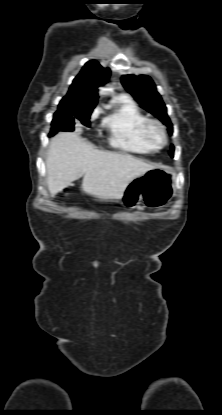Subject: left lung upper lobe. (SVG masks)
Listing matches in <instances>:
<instances>
[{
  "label": "left lung upper lobe",
  "instance_id": "left-lung-upper-lobe-1",
  "mask_svg": "<svg viewBox=\"0 0 222 415\" xmlns=\"http://www.w3.org/2000/svg\"><path fill=\"white\" fill-rule=\"evenodd\" d=\"M122 84L144 109L168 126V131L172 134V123L167 115L166 106L160 94L157 92L153 80L146 75H125L122 77ZM169 154L173 157L174 146H171Z\"/></svg>",
  "mask_w": 222,
  "mask_h": 415
}]
</instances>
